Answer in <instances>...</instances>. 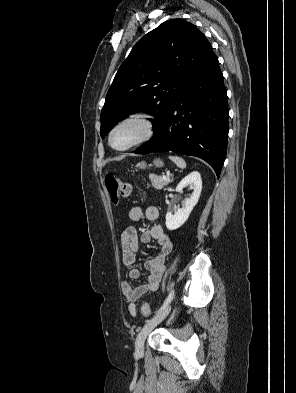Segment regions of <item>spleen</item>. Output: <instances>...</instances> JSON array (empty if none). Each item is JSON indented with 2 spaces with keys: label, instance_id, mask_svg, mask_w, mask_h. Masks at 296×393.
Masks as SVG:
<instances>
[{
  "label": "spleen",
  "instance_id": "obj_1",
  "mask_svg": "<svg viewBox=\"0 0 296 393\" xmlns=\"http://www.w3.org/2000/svg\"><path fill=\"white\" fill-rule=\"evenodd\" d=\"M169 158H170V160H172L177 165V167H179L181 169L186 168V162L181 157L169 156Z\"/></svg>",
  "mask_w": 296,
  "mask_h": 393
}]
</instances>
